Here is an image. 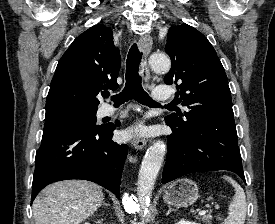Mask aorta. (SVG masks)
<instances>
[{
    "label": "aorta",
    "mask_w": 275,
    "mask_h": 224,
    "mask_svg": "<svg viewBox=\"0 0 275 224\" xmlns=\"http://www.w3.org/2000/svg\"><path fill=\"white\" fill-rule=\"evenodd\" d=\"M149 65L155 72H168L170 59L164 54H152ZM166 154V145L162 141L155 142L146 152L138 175V200L144 216L148 213L152 190Z\"/></svg>",
    "instance_id": "762f6f07"
}]
</instances>
